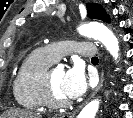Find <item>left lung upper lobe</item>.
<instances>
[{"label": "left lung upper lobe", "instance_id": "1", "mask_svg": "<svg viewBox=\"0 0 133 118\" xmlns=\"http://www.w3.org/2000/svg\"><path fill=\"white\" fill-rule=\"evenodd\" d=\"M86 7L89 18L102 20L108 23L110 22L109 16L106 15L104 9L100 5L96 3H89Z\"/></svg>", "mask_w": 133, "mask_h": 118}]
</instances>
